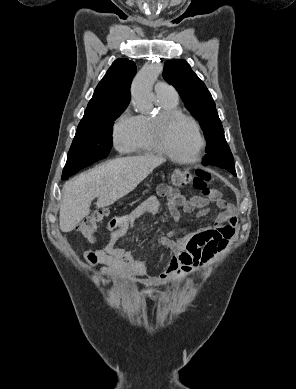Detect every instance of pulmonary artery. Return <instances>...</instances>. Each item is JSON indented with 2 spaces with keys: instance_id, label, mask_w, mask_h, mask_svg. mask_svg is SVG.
<instances>
[{
  "instance_id": "obj_1",
  "label": "pulmonary artery",
  "mask_w": 296,
  "mask_h": 389,
  "mask_svg": "<svg viewBox=\"0 0 296 389\" xmlns=\"http://www.w3.org/2000/svg\"><path fill=\"white\" fill-rule=\"evenodd\" d=\"M155 92L158 96H166L170 98H177V92L173 86L166 82H158L155 85Z\"/></svg>"
}]
</instances>
